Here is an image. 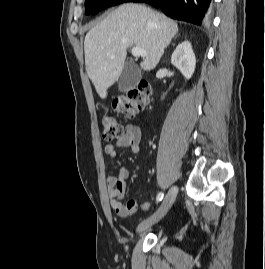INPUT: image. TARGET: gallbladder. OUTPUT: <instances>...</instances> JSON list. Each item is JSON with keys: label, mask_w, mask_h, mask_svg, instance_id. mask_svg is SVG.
Returning <instances> with one entry per match:
<instances>
[{"label": "gallbladder", "mask_w": 265, "mask_h": 269, "mask_svg": "<svg viewBox=\"0 0 265 269\" xmlns=\"http://www.w3.org/2000/svg\"><path fill=\"white\" fill-rule=\"evenodd\" d=\"M140 69L133 62L129 61L124 65V69L119 79L118 89L120 92L131 90L137 84L140 78Z\"/></svg>", "instance_id": "1"}]
</instances>
